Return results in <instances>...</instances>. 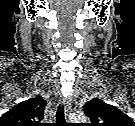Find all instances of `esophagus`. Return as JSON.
<instances>
[{
  "label": "esophagus",
  "mask_w": 135,
  "mask_h": 126,
  "mask_svg": "<svg viewBox=\"0 0 135 126\" xmlns=\"http://www.w3.org/2000/svg\"><path fill=\"white\" fill-rule=\"evenodd\" d=\"M76 106L77 101L71 97L65 106V117L67 121L69 120V116L71 115L72 111L76 108Z\"/></svg>",
  "instance_id": "34e87169"
}]
</instances>
